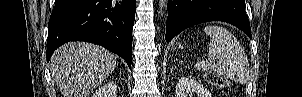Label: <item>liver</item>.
<instances>
[{"label": "liver", "instance_id": "obj_1", "mask_svg": "<svg viewBox=\"0 0 302 97\" xmlns=\"http://www.w3.org/2000/svg\"><path fill=\"white\" fill-rule=\"evenodd\" d=\"M51 74L64 97H88L115 69L116 56L91 43H67L50 60Z\"/></svg>", "mask_w": 302, "mask_h": 97}]
</instances>
